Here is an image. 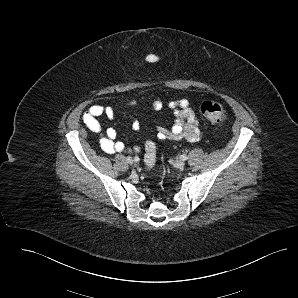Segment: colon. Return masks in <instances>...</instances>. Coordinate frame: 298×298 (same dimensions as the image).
I'll return each mask as SVG.
<instances>
[{
    "label": "colon",
    "mask_w": 298,
    "mask_h": 298,
    "mask_svg": "<svg viewBox=\"0 0 298 298\" xmlns=\"http://www.w3.org/2000/svg\"><path fill=\"white\" fill-rule=\"evenodd\" d=\"M148 61H154L153 55L148 56ZM203 116L210 122L219 124L225 121L227 117L226 108L215 101H205L201 105ZM145 164L147 167H152L156 163V146L152 141H147L145 144Z\"/></svg>",
    "instance_id": "5ec220e1"
}]
</instances>
